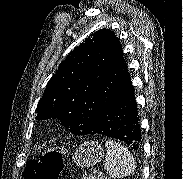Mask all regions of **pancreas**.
Returning <instances> with one entry per match:
<instances>
[{"label":"pancreas","mask_w":183,"mask_h":179,"mask_svg":"<svg viewBox=\"0 0 183 179\" xmlns=\"http://www.w3.org/2000/svg\"><path fill=\"white\" fill-rule=\"evenodd\" d=\"M82 179H107L106 177L95 178L93 176H83Z\"/></svg>","instance_id":"cf45deb5"}]
</instances>
